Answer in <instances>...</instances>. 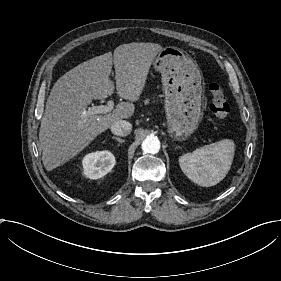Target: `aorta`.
<instances>
[{
  "label": "aorta",
  "instance_id": "762f6f07",
  "mask_svg": "<svg viewBox=\"0 0 281 281\" xmlns=\"http://www.w3.org/2000/svg\"><path fill=\"white\" fill-rule=\"evenodd\" d=\"M142 150L145 153L156 154L160 150V141L157 137H147L142 143Z\"/></svg>",
  "mask_w": 281,
  "mask_h": 281
}]
</instances>
